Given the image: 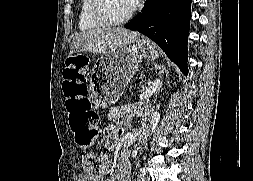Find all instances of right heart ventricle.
Instances as JSON below:
<instances>
[{"label": "right heart ventricle", "mask_w": 253, "mask_h": 181, "mask_svg": "<svg viewBox=\"0 0 253 181\" xmlns=\"http://www.w3.org/2000/svg\"><path fill=\"white\" fill-rule=\"evenodd\" d=\"M93 0H81L78 27L80 31L89 32L100 29L103 25L94 20L91 14Z\"/></svg>", "instance_id": "1"}]
</instances>
